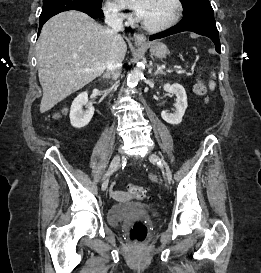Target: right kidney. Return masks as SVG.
<instances>
[{
	"label": "right kidney",
	"mask_w": 261,
	"mask_h": 273,
	"mask_svg": "<svg viewBox=\"0 0 261 273\" xmlns=\"http://www.w3.org/2000/svg\"><path fill=\"white\" fill-rule=\"evenodd\" d=\"M83 106H86V110L83 111ZM94 114V107L88 103L87 91L80 93L72 102L70 109V123L75 128L85 127Z\"/></svg>",
	"instance_id": "1"
}]
</instances>
